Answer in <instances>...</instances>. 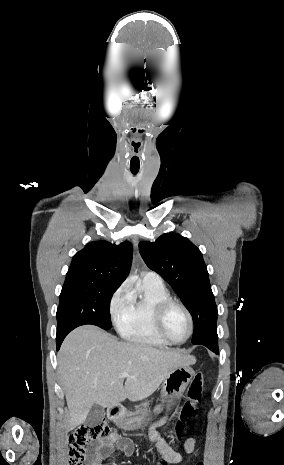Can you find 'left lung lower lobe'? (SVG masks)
Masks as SVG:
<instances>
[{
	"label": "left lung lower lobe",
	"mask_w": 284,
	"mask_h": 465,
	"mask_svg": "<svg viewBox=\"0 0 284 465\" xmlns=\"http://www.w3.org/2000/svg\"><path fill=\"white\" fill-rule=\"evenodd\" d=\"M200 344L206 346L207 348L218 354V338L207 339L205 341H202Z\"/></svg>",
	"instance_id": "1"
}]
</instances>
